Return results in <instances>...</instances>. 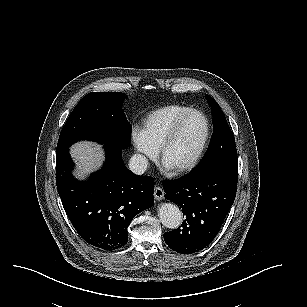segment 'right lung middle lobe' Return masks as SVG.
Segmentation results:
<instances>
[{"label":"right lung middle lobe","mask_w":307,"mask_h":307,"mask_svg":"<svg viewBox=\"0 0 307 307\" xmlns=\"http://www.w3.org/2000/svg\"><path fill=\"white\" fill-rule=\"evenodd\" d=\"M124 97L119 92L87 94L68 117L56 151L68 149L74 142L85 139L129 147L132 126L121 109Z\"/></svg>","instance_id":"1"}]
</instances>
